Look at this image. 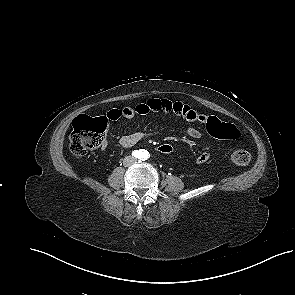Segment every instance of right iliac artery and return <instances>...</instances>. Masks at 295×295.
I'll use <instances>...</instances> for the list:
<instances>
[{"instance_id":"82829eb1","label":"right iliac artery","mask_w":295,"mask_h":295,"mask_svg":"<svg viewBox=\"0 0 295 295\" xmlns=\"http://www.w3.org/2000/svg\"><path fill=\"white\" fill-rule=\"evenodd\" d=\"M132 156L139 158L140 152L139 151H134V152H132Z\"/></svg>"}]
</instances>
